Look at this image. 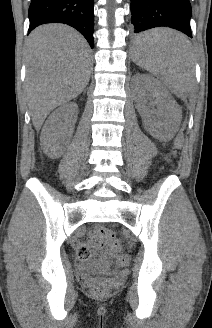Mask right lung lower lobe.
I'll return each instance as SVG.
<instances>
[{
	"mask_svg": "<svg viewBox=\"0 0 212 328\" xmlns=\"http://www.w3.org/2000/svg\"><path fill=\"white\" fill-rule=\"evenodd\" d=\"M94 0H32L28 33L44 23H65L76 28L94 46Z\"/></svg>",
	"mask_w": 212,
	"mask_h": 328,
	"instance_id": "1",
	"label": "right lung lower lobe"
}]
</instances>
